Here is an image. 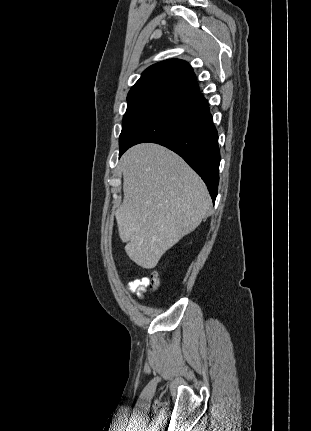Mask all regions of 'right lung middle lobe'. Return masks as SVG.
Instances as JSON below:
<instances>
[{"label": "right lung middle lobe", "instance_id": "dd1d6c3e", "mask_svg": "<svg viewBox=\"0 0 311 431\" xmlns=\"http://www.w3.org/2000/svg\"><path fill=\"white\" fill-rule=\"evenodd\" d=\"M181 97L155 89H145L128 93L127 110L123 116L122 131L119 137L120 152L133 134L162 109Z\"/></svg>", "mask_w": 311, "mask_h": 431}]
</instances>
